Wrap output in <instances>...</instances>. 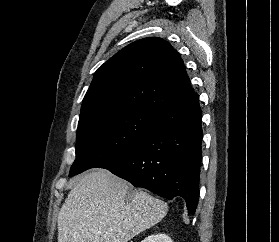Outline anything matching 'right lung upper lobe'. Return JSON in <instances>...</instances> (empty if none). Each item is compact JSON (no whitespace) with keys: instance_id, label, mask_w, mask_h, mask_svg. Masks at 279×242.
<instances>
[{"instance_id":"obj_1","label":"right lung upper lobe","mask_w":279,"mask_h":242,"mask_svg":"<svg viewBox=\"0 0 279 242\" xmlns=\"http://www.w3.org/2000/svg\"><path fill=\"white\" fill-rule=\"evenodd\" d=\"M183 60L165 40L135 41L96 71L80 117L109 110L160 113L197 99Z\"/></svg>"}]
</instances>
